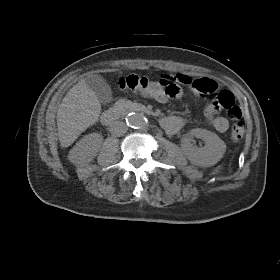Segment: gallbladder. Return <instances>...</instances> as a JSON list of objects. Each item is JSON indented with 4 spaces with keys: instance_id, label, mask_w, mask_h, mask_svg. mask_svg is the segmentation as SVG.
<instances>
[{
    "instance_id": "gallbladder-1",
    "label": "gallbladder",
    "mask_w": 280,
    "mask_h": 280,
    "mask_svg": "<svg viewBox=\"0 0 280 280\" xmlns=\"http://www.w3.org/2000/svg\"><path fill=\"white\" fill-rule=\"evenodd\" d=\"M86 84L95 92L98 100L107 104L112 100V92L110 86L106 83L103 77L99 75H93L88 77Z\"/></svg>"
}]
</instances>
